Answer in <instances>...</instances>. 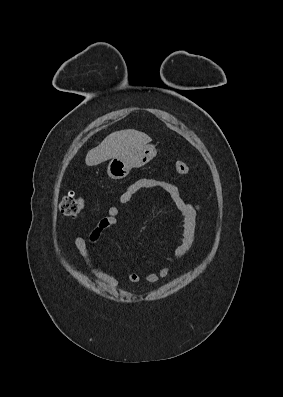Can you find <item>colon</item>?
Returning <instances> with one entry per match:
<instances>
[{"mask_svg": "<svg viewBox=\"0 0 283 397\" xmlns=\"http://www.w3.org/2000/svg\"><path fill=\"white\" fill-rule=\"evenodd\" d=\"M176 173L186 175L189 173V166L182 161L174 163ZM83 209V200L74 193L66 195L60 203V211L65 216H76Z\"/></svg>", "mask_w": 283, "mask_h": 397, "instance_id": "1", "label": "colon"}]
</instances>
